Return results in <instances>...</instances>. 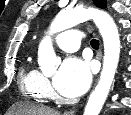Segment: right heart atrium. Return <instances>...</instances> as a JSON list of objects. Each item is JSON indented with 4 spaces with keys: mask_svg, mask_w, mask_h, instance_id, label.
<instances>
[{
    "mask_svg": "<svg viewBox=\"0 0 131 115\" xmlns=\"http://www.w3.org/2000/svg\"><path fill=\"white\" fill-rule=\"evenodd\" d=\"M41 86H42V90L45 93V95L47 96L51 95V92H52L51 86H50L49 81L45 77L42 80Z\"/></svg>",
    "mask_w": 131,
    "mask_h": 115,
    "instance_id": "obj_1",
    "label": "right heart atrium"
}]
</instances>
